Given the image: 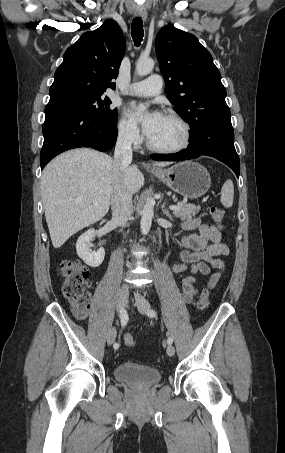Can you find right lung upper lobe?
Wrapping results in <instances>:
<instances>
[{
    "label": "right lung upper lobe",
    "mask_w": 285,
    "mask_h": 453,
    "mask_svg": "<svg viewBox=\"0 0 285 453\" xmlns=\"http://www.w3.org/2000/svg\"><path fill=\"white\" fill-rule=\"evenodd\" d=\"M124 52V35L113 20L82 34L64 53L49 90L50 98L71 92L103 94L107 88L115 89L111 80L117 78Z\"/></svg>",
    "instance_id": "cb5924a9"
}]
</instances>
